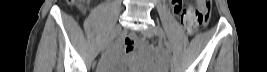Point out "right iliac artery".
<instances>
[{
    "label": "right iliac artery",
    "instance_id": "right-iliac-artery-1",
    "mask_svg": "<svg viewBox=\"0 0 267 72\" xmlns=\"http://www.w3.org/2000/svg\"><path fill=\"white\" fill-rule=\"evenodd\" d=\"M112 39V36H110L108 39H107V41H109V40H111Z\"/></svg>",
    "mask_w": 267,
    "mask_h": 72
}]
</instances>
